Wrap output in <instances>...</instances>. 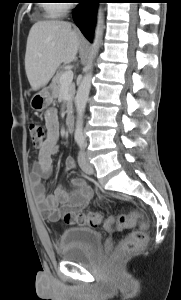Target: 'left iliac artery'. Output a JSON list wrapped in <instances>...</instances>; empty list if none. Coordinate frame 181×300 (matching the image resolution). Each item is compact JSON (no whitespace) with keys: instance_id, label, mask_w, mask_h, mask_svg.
<instances>
[{"instance_id":"left-iliac-artery-1","label":"left iliac artery","mask_w":181,"mask_h":300,"mask_svg":"<svg viewBox=\"0 0 181 300\" xmlns=\"http://www.w3.org/2000/svg\"><path fill=\"white\" fill-rule=\"evenodd\" d=\"M77 142H78L80 147L84 146V139L83 138H77Z\"/></svg>"}]
</instances>
